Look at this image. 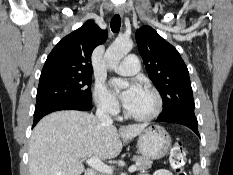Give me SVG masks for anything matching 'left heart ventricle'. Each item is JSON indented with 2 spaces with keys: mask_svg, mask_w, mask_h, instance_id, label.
I'll list each match as a JSON object with an SVG mask.
<instances>
[{
  "mask_svg": "<svg viewBox=\"0 0 233 175\" xmlns=\"http://www.w3.org/2000/svg\"><path fill=\"white\" fill-rule=\"evenodd\" d=\"M155 105L154 98L143 89L136 98L126 106L127 110L135 115H144L149 113Z\"/></svg>",
  "mask_w": 233,
  "mask_h": 175,
  "instance_id": "left-heart-ventricle-1",
  "label": "left heart ventricle"
}]
</instances>
